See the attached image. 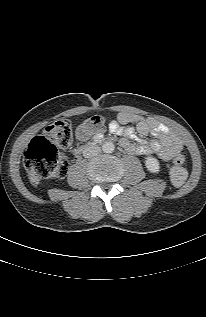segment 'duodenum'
Listing matches in <instances>:
<instances>
[{"instance_id":"410a0bca","label":"duodenum","mask_w":206,"mask_h":317,"mask_svg":"<svg viewBox=\"0 0 206 317\" xmlns=\"http://www.w3.org/2000/svg\"><path fill=\"white\" fill-rule=\"evenodd\" d=\"M100 141L101 140L99 138H96L95 140H93L90 143L80 145V146H78L77 148L74 149V154L75 155L82 154V153L88 151L89 149L93 148Z\"/></svg>"}]
</instances>
